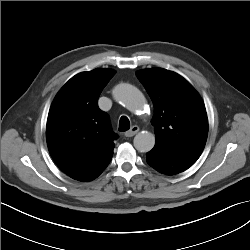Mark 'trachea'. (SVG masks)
I'll use <instances>...</instances> for the list:
<instances>
[{
  "mask_svg": "<svg viewBox=\"0 0 250 250\" xmlns=\"http://www.w3.org/2000/svg\"><path fill=\"white\" fill-rule=\"evenodd\" d=\"M130 129V121L126 116H122L119 121V131L124 132Z\"/></svg>",
  "mask_w": 250,
  "mask_h": 250,
  "instance_id": "obj_1",
  "label": "trachea"
}]
</instances>
